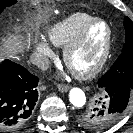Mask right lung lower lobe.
Segmentation results:
<instances>
[{
	"mask_svg": "<svg viewBox=\"0 0 133 133\" xmlns=\"http://www.w3.org/2000/svg\"><path fill=\"white\" fill-rule=\"evenodd\" d=\"M38 77L5 60L0 64V130H13L29 118L38 99Z\"/></svg>",
	"mask_w": 133,
	"mask_h": 133,
	"instance_id": "right-lung-lower-lobe-1",
	"label": "right lung lower lobe"
}]
</instances>
